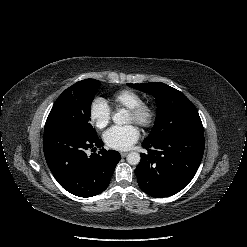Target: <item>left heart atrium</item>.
Masks as SVG:
<instances>
[{"mask_svg":"<svg viewBox=\"0 0 247 247\" xmlns=\"http://www.w3.org/2000/svg\"><path fill=\"white\" fill-rule=\"evenodd\" d=\"M106 145L116 150L129 149L139 138V131L133 124L113 126L104 133Z\"/></svg>","mask_w":247,"mask_h":247,"instance_id":"1","label":"left heart atrium"}]
</instances>
